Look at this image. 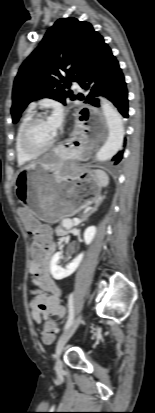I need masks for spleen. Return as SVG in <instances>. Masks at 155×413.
Here are the masks:
<instances>
[{
  "instance_id": "spleen-1",
  "label": "spleen",
  "mask_w": 155,
  "mask_h": 413,
  "mask_svg": "<svg viewBox=\"0 0 155 413\" xmlns=\"http://www.w3.org/2000/svg\"><path fill=\"white\" fill-rule=\"evenodd\" d=\"M101 186L106 187L109 184V176L102 170H95L94 171Z\"/></svg>"
}]
</instances>
